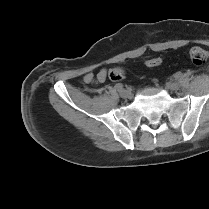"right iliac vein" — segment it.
I'll list each match as a JSON object with an SVG mask.
<instances>
[{"label": "right iliac vein", "instance_id": "1", "mask_svg": "<svg viewBox=\"0 0 209 209\" xmlns=\"http://www.w3.org/2000/svg\"><path fill=\"white\" fill-rule=\"evenodd\" d=\"M119 94L122 98H131L132 96L131 92L128 90H120Z\"/></svg>", "mask_w": 209, "mask_h": 209}]
</instances>
